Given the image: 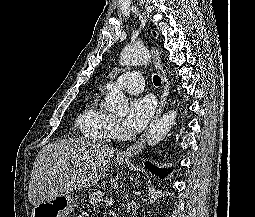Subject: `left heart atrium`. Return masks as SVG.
I'll return each mask as SVG.
<instances>
[{
  "mask_svg": "<svg viewBox=\"0 0 255 217\" xmlns=\"http://www.w3.org/2000/svg\"><path fill=\"white\" fill-rule=\"evenodd\" d=\"M154 113V102L149 97L133 99L130 102L129 111L124 126L128 133L137 134L150 121Z\"/></svg>",
  "mask_w": 255,
  "mask_h": 217,
  "instance_id": "39dd6f15",
  "label": "left heart atrium"
}]
</instances>
